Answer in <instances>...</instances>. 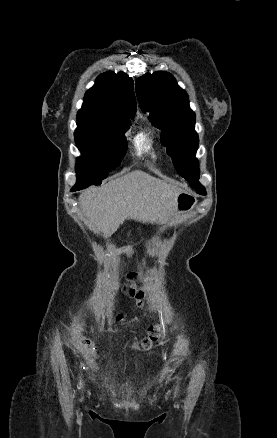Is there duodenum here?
Segmentation results:
<instances>
[{"instance_id": "410a0bca", "label": "duodenum", "mask_w": 277, "mask_h": 438, "mask_svg": "<svg viewBox=\"0 0 277 438\" xmlns=\"http://www.w3.org/2000/svg\"><path fill=\"white\" fill-rule=\"evenodd\" d=\"M114 249L119 253L125 252V247H123V246H114Z\"/></svg>"}]
</instances>
